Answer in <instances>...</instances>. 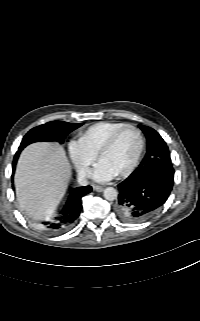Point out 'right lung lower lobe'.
Here are the masks:
<instances>
[{
	"mask_svg": "<svg viewBox=\"0 0 200 321\" xmlns=\"http://www.w3.org/2000/svg\"><path fill=\"white\" fill-rule=\"evenodd\" d=\"M20 152L17 151L12 164V177L14 175L17 159ZM92 191L91 186L72 188L61 212L52 220L43 222V227L50 233H58L69 228L78 218L82 209L81 199Z\"/></svg>",
	"mask_w": 200,
	"mask_h": 321,
	"instance_id": "right-lung-lower-lobe-1",
	"label": "right lung lower lobe"
}]
</instances>
